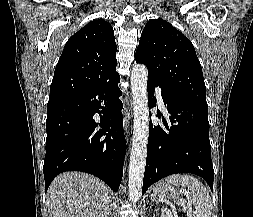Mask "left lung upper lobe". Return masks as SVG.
<instances>
[{
  "label": "left lung upper lobe",
  "instance_id": "left-lung-upper-lobe-1",
  "mask_svg": "<svg viewBox=\"0 0 253 217\" xmlns=\"http://www.w3.org/2000/svg\"><path fill=\"white\" fill-rule=\"evenodd\" d=\"M148 68V79L163 91L207 105L202 68L192 43L170 23L150 20L135 54Z\"/></svg>",
  "mask_w": 253,
  "mask_h": 217
}]
</instances>
